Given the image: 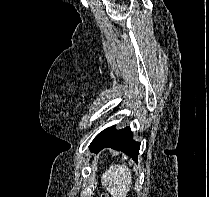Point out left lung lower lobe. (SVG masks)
Returning a JSON list of instances; mask_svg holds the SVG:
<instances>
[{"label":"left lung lower lobe","mask_w":209,"mask_h":197,"mask_svg":"<svg viewBox=\"0 0 209 197\" xmlns=\"http://www.w3.org/2000/svg\"><path fill=\"white\" fill-rule=\"evenodd\" d=\"M107 147L122 151L137 161L140 143L133 140V133L129 127L115 130L114 125L100 132L89 146L90 150L96 153Z\"/></svg>","instance_id":"1"}]
</instances>
